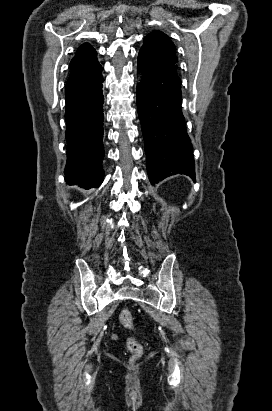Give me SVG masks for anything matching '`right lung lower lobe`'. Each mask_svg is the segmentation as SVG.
Listing matches in <instances>:
<instances>
[{
    "label": "right lung lower lobe",
    "instance_id": "1",
    "mask_svg": "<svg viewBox=\"0 0 272 411\" xmlns=\"http://www.w3.org/2000/svg\"><path fill=\"white\" fill-rule=\"evenodd\" d=\"M101 77L91 86L65 95L67 164L65 180L90 189L103 181V102Z\"/></svg>",
    "mask_w": 272,
    "mask_h": 411
}]
</instances>
